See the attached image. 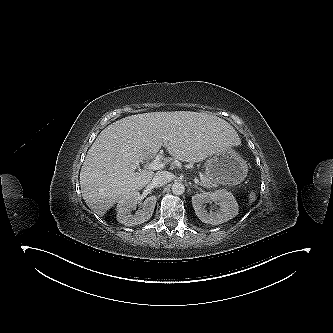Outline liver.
Masks as SVG:
<instances>
[{
  "label": "liver",
  "mask_w": 333,
  "mask_h": 333,
  "mask_svg": "<svg viewBox=\"0 0 333 333\" xmlns=\"http://www.w3.org/2000/svg\"><path fill=\"white\" fill-rule=\"evenodd\" d=\"M240 144L227 121L209 114L131 115L107 126L88 150L80 172L81 193L87 206L103 216L125 195L151 182L154 172L139 165L153 159L163 145L174 159L198 163Z\"/></svg>",
  "instance_id": "1"
}]
</instances>
